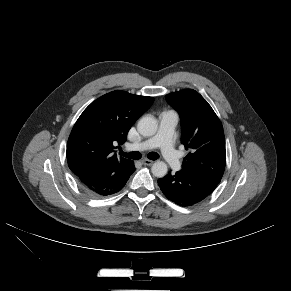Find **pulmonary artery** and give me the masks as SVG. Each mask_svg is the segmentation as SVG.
Returning <instances> with one entry per match:
<instances>
[{"label": "pulmonary artery", "mask_w": 291, "mask_h": 291, "mask_svg": "<svg viewBox=\"0 0 291 291\" xmlns=\"http://www.w3.org/2000/svg\"><path fill=\"white\" fill-rule=\"evenodd\" d=\"M160 124L157 133L140 143L129 145L134 151H145L153 148H160L166 162L173 170L181 169V161L177 151L173 147V133L178 122V116L174 111L163 112L160 117Z\"/></svg>", "instance_id": "pulmonary-artery-1"}]
</instances>
